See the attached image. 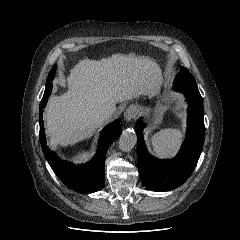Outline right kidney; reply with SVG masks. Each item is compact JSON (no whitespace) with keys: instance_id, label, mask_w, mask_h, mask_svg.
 I'll list each match as a JSON object with an SVG mask.
<instances>
[{"instance_id":"right-kidney-1","label":"right kidney","mask_w":240,"mask_h":240,"mask_svg":"<svg viewBox=\"0 0 240 240\" xmlns=\"http://www.w3.org/2000/svg\"><path fill=\"white\" fill-rule=\"evenodd\" d=\"M86 156H87V153H83V154L81 155L82 158H85Z\"/></svg>"}]
</instances>
